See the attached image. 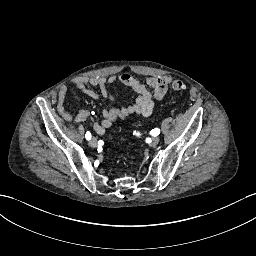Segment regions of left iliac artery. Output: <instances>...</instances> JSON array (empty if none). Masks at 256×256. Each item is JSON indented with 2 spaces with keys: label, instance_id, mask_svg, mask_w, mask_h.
<instances>
[{
  "label": "left iliac artery",
  "instance_id": "44dca946",
  "mask_svg": "<svg viewBox=\"0 0 256 256\" xmlns=\"http://www.w3.org/2000/svg\"><path fill=\"white\" fill-rule=\"evenodd\" d=\"M150 134L155 137V136L160 134V129L155 128V129L150 131Z\"/></svg>",
  "mask_w": 256,
  "mask_h": 256
}]
</instances>
